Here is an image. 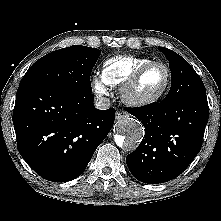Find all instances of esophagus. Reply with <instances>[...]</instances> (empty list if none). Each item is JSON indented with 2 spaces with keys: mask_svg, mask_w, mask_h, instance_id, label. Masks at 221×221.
<instances>
[{
  "mask_svg": "<svg viewBox=\"0 0 221 221\" xmlns=\"http://www.w3.org/2000/svg\"><path fill=\"white\" fill-rule=\"evenodd\" d=\"M128 116H129V114L126 111L121 110V111L116 112L115 118L117 120H119V119H122V118H125V117H128Z\"/></svg>",
  "mask_w": 221,
  "mask_h": 221,
  "instance_id": "1",
  "label": "esophagus"
}]
</instances>
